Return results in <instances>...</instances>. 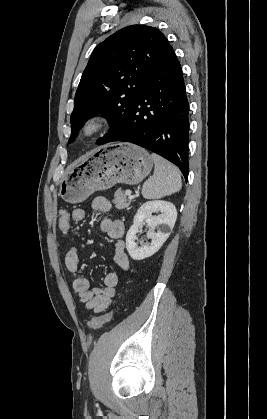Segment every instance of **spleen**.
I'll return each mask as SVG.
<instances>
[{"instance_id": "obj_1", "label": "spleen", "mask_w": 267, "mask_h": 419, "mask_svg": "<svg viewBox=\"0 0 267 419\" xmlns=\"http://www.w3.org/2000/svg\"><path fill=\"white\" fill-rule=\"evenodd\" d=\"M154 164L153 177L142 187V195L146 199H157L179 192L182 187L178 168L157 154L151 155Z\"/></svg>"}]
</instances>
